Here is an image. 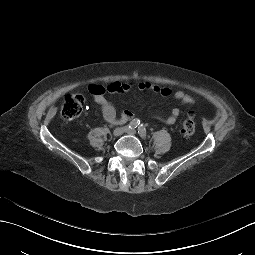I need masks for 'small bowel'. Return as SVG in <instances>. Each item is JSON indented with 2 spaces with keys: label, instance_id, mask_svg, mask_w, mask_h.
I'll list each match as a JSON object with an SVG mask.
<instances>
[{
  "label": "small bowel",
  "instance_id": "obj_1",
  "mask_svg": "<svg viewBox=\"0 0 255 255\" xmlns=\"http://www.w3.org/2000/svg\"><path fill=\"white\" fill-rule=\"evenodd\" d=\"M136 86L139 90H152L155 93H158L162 96L168 97L172 96L180 104L192 105L193 99L183 90L172 91L170 88L162 87L157 84H150L148 82H139L137 84L132 83H119L113 82L107 86H102L99 84H91L88 87L89 93L94 98L95 102L99 105L104 119L110 124H123L131 120L135 116L133 110H123L118 115L117 111L112 104V102L106 97V93H115V92H127ZM180 115V110L178 108H173L171 114L167 117H162L160 115H152L153 118L162 120L168 125H173Z\"/></svg>",
  "mask_w": 255,
  "mask_h": 255
}]
</instances>
